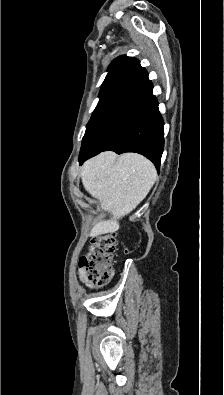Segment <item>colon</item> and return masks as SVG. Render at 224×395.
Wrapping results in <instances>:
<instances>
[{
    "mask_svg": "<svg viewBox=\"0 0 224 395\" xmlns=\"http://www.w3.org/2000/svg\"><path fill=\"white\" fill-rule=\"evenodd\" d=\"M116 245V234L112 232L102 233L91 239L87 252L80 261L90 280L103 284L112 278V261Z\"/></svg>",
    "mask_w": 224,
    "mask_h": 395,
    "instance_id": "1",
    "label": "colon"
}]
</instances>
